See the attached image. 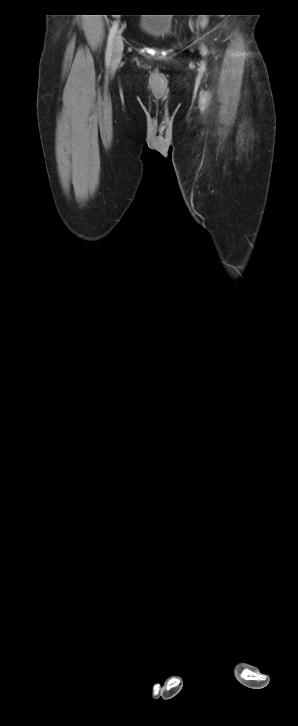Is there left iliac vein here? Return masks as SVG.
Listing matches in <instances>:
<instances>
[{
	"label": "left iliac vein",
	"mask_w": 298,
	"mask_h": 726,
	"mask_svg": "<svg viewBox=\"0 0 298 726\" xmlns=\"http://www.w3.org/2000/svg\"><path fill=\"white\" fill-rule=\"evenodd\" d=\"M206 50L204 47H202V53L205 54Z\"/></svg>",
	"instance_id": "obj_1"
}]
</instances>
